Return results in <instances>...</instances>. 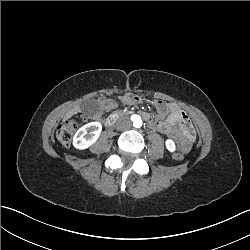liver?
Instances as JSON below:
<instances>
[{
	"instance_id": "obj_1",
	"label": "liver",
	"mask_w": 250,
	"mask_h": 250,
	"mask_svg": "<svg viewBox=\"0 0 250 250\" xmlns=\"http://www.w3.org/2000/svg\"><path fill=\"white\" fill-rule=\"evenodd\" d=\"M77 112L76 108L70 110L67 114H66V118L71 117L73 114H75Z\"/></svg>"
}]
</instances>
